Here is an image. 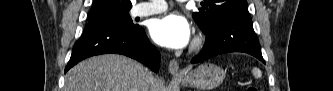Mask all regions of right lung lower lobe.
<instances>
[{
    "label": "right lung lower lobe",
    "instance_id": "right-lung-lower-lobe-1",
    "mask_svg": "<svg viewBox=\"0 0 333 91\" xmlns=\"http://www.w3.org/2000/svg\"><path fill=\"white\" fill-rule=\"evenodd\" d=\"M107 53L126 55L144 63L154 72L159 70L160 54L141 26L87 24L81 38L75 43L65 72L83 59Z\"/></svg>",
    "mask_w": 333,
    "mask_h": 91
}]
</instances>
